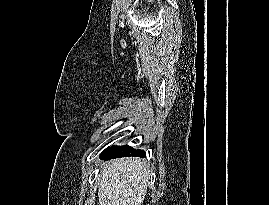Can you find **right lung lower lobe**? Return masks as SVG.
Masks as SVG:
<instances>
[{"instance_id":"1","label":"right lung lower lobe","mask_w":269,"mask_h":205,"mask_svg":"<svg viewBox=\"0 0 269 205\" xmlns=\"http://www.w3.org/2000/svg\"><path fill=\"white\" fill-rule=\"evenodd\" d=\"M128 156L145 157L146 154L143 150H136L128 145L112 146L105 149L101 153L100 158L103 160H108V159L128 157Z\"/></svg>"}]
</instances>
